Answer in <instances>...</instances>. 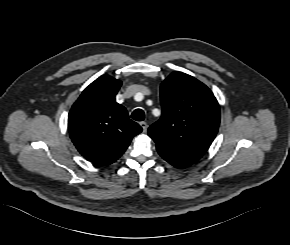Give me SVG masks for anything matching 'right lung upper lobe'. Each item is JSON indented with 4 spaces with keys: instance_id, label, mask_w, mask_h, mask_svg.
Returning a JSON list of instances; mask_svg holds the SVG:
<instances>
[{
    "instance_id": "right-lung-upper-lobe-1",
    "label": "right lung upper lobe",
    "mask_w": 290,
    "mask_h": 245,
    "mask_svg": "<svg viewBox=\"0 0 290 245\" xmlns=\"http://www.w3.org/2000/svg\"><path fill=\"white\" fill-rule=\"evenodd\" d=\"M121 81L103 75L92 82L72 106L68 115L70 137L87 160L109 165L127 149L142 128L128 117L115 96Z\"/></svg>"
}]
</instances>
